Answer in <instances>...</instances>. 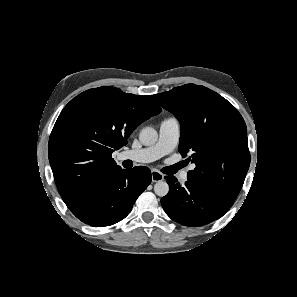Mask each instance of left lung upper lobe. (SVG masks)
<instances>
[{
	"mask_svg": "<svg viewBox=\"0 0 297 297\" xmlns=\"http://www.w3.org/2000/svg\"><path fill=\"white\" fill-rule=\"evenodd\" d=\"M180 122L179 152H192L188 180L232 206L244 183L250 153L246 124L218 93L195 84L154 95Z\"/></svg>",
	"mask_w": 297,
	"mask_h": 297,
	"instance_id": "1",
	"label": "left lung upper lobe"
}]
</instances>
